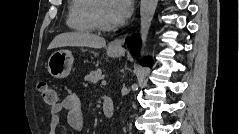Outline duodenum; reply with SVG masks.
Masks as SVG:
<instances>
[{
	"mask_svg": "<svg viewBox=\"0 0 239 134\" xmlns=\"http://www.w3.org/2000/svg\"><path fill=\"white\" fill-rule=\"evenodd\" d=\"M102 109H103L104 116L107 119H110V118L113 117V115H114V104H113V101L110 97H108V96L103 97Z\"/></svg>",
	"mask_w": 239,
	"mask_h": 134,
	"instance_id": "410a0bca",
	"label": "duodenum"
}]
</instances>
